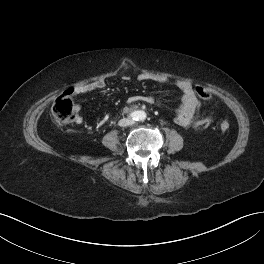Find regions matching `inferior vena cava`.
I'll use <instances>...</instances> for the list:
<instances>
[{
    "label": "inferior vena cava",
    "mask_w": 264,
    "mask_h": 264,
    "mask_svg": "<svg viewBox=\"0 0 264 264\" xmlns=\"http://www.w3.org/2000/svg\"><path fill=\"white\" fill-rule=\"evenodd\" d=\"M130 124H132V120L131 119H121L119 121V125L120 126H128Z\"/></svg>",
    "instance_id": "602c4592"
}]
</instances>
